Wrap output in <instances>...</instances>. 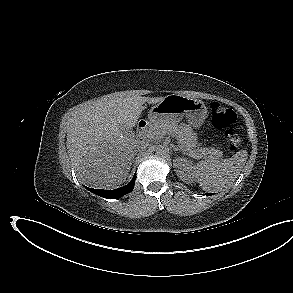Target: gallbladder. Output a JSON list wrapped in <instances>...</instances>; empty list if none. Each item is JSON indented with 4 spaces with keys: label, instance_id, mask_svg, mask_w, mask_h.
<instances>
[{
    "label": "gallbladder",
    "instance_id": "obj_1",
    "mask_svg": "<svg viewBox=\"0 0 293 293\" xmlns=\"http://www.w3.org/2000/svg\"><path fill=\"white\" fill-rule=\"evenodd\" d=\"M126 133H127L128 135H133V132H132L131 130H128Z\"/></svg>",
    "mask_w": 293,
    "mask_h": 293
}]
</instances>
